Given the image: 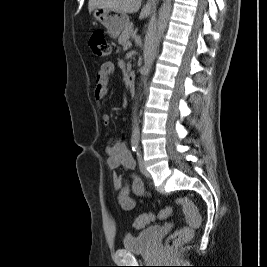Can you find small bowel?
<instances>
[{"label": "small bowel", "instance_id": "small-bowel-1", "mask_svg": "<svg viewBox=\"0 0 267 267\" xmlns=\"http://www.w3.org/2000/svg\"><path fill=\"white\" fill-rule=\"evenodd\" d=\"M114 71V66L110 62L102 64L100 70L96 74L94 99L100 103L107 94L109 78ZM102 123L107 127L110 123V116L103 113L101 116ZM107 164L114 171L113 185L118 191V202L123 210L130 211L135 207V200L130 196L134 193L137 196H146L147 192L144 188L142 180L133 173L136 163L123 138L116 139L113 143L106 146ZM122 169L130 172V180L123 178L117 173V170Z\"/></svg>", "mask_w": 267, "mask_h": 267}]
</instances>
